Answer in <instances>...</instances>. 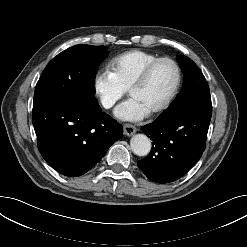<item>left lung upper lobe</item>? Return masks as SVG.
Masks as SVG:
<instances>
[{"instance_id":"1","label":"left lung upper lobe","mask_w":247,"mask_h":247,"mask_svg":"<svg viewBox=\"0 0 247 247\" xmlns=\"http://www.w3.org/2000/svg\"><path fill=\"white\" fill-rule=\"evenodd\" d=\"M177 59L184 74V84L182 91L169 109H175L183 105L199 92L209 91L205 77L197 65L184 55L178 56Z\"/></svg>"}]
</instances>
